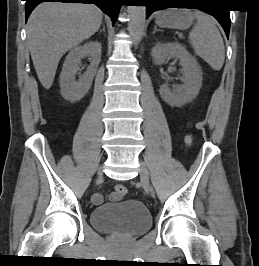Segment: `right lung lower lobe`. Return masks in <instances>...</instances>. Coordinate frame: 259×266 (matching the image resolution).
I'll return each mask as SVG.
<instances>
[{
	"instance_id": "98d812e1",
	"label": "right lung lower lobe",
	"mask_w": 259,
	"mask_h": 266,
	"mask_svg": "<svg viewBox=\"0 0 259 266\" xmlns=\"http://www.w3.org/2000/svg\"><path fill=\"white\" fill-rule=\"evenodd\" d=\"M25 14L26 21L33 11V9L41 2H62V3H84V4H96L98 5L106 14H108L113 21H116L118 11L122 5L123 0H25Z\"/></svg>"
}]
</instances>
